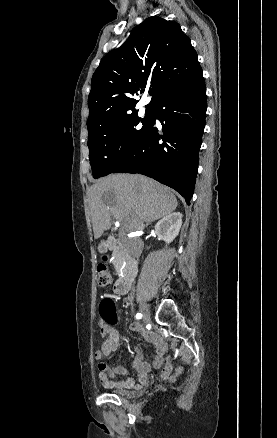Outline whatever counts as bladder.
I'll return each instance as SVG.
<instances>
[{
    "instance_id": "bladder-1",
    "label": "bladder",
    "mask_w": 277,
    "mask_h": 438,
    "mask_svg": "<svg viewBox=\"0 0 277 438\" xmlns=\"http://www.w3.org/2000/svg\"><path fill=\"white\" fill-rule=\"evenodd\" d=\"M112 394H113L115 397H119V398H121V399H123L124 396H125V392L122 391V390H119V389H113V390H112Z\"/></svg>"
}]
</instances>
